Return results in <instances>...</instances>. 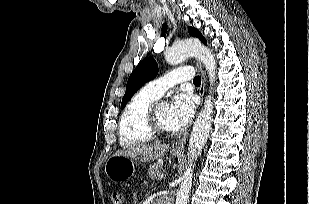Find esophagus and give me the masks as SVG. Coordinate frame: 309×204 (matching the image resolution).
Returning <instances> with one entry per match:
<instances>
[{
    "mask_svg": "<svg viewBox=\"0 0 309 204\" xmlns=\"http://www.w3.org/2000/svg\"><path fill=\"white\" fill-rule=\"evenodd\" d=\"M196 66L201 74V86L199 88V95L201 97V99L203 100V96H204V91H205V82H206V78H205V72L204 69L201 65V63L199 61H196ZM186 139L187 137L184 136L181 139L175 141L174 143H172L171 148L174 150H182L184 148V145L186 143Z\"/></svg>",
    "mask_w": 309,
    "mask_h": 204,
    "instance_id": "1",
    "label": "esophagus"
}]
</instances>
